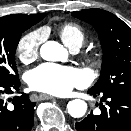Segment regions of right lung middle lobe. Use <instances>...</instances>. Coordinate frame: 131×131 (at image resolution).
<instances>
[{"instance_id": "obj_1", "label": "right lung middle lobe", "mask_w": 131, "mask_h": 131, "mask_svg": "<svg viewBox=\"0 0 131 131\" xmlns=\"http://www.w3.org/2000/svg\"><path fill=\"white\" fill-rule=\"evenodd\" d=\"M30 26L0 23V81L18 77L15 51L22 33Z\"/></svg>"}]
</instances>
